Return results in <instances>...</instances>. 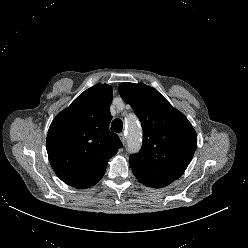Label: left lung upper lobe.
I'll return each mask as SVG.
<instances>
[{"label": "left lung upper lobe", "mask_w": 248, "mask_h": 248, "mask_svg": "<svg viewBox=\"0 0 248 248\" xmlns=\"http://www.w3.org/2000/svg\"><path fill=\"white\" fill-rule=\"evenodd\" d=\"M119 93L141 121L143 145L129 158L142 184L161 188L186 170L197 147V135L188 119L157 90L142 83H121Z\"/></svg>", "instance_id": "left-lung-upper-lobe-1"}]
</instances>
